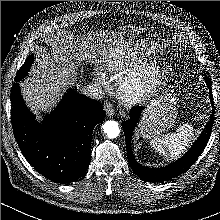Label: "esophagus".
I'll return each instance as SVG.
<instances>
[{
	"mask_svg": "<svg viewBox=\"0 0 220 220\" xmlns=\"http://www.w3.org/2000/svg\"><path fill=\"white\" fill-rule=\"evenodd\" d=\"M103 107H104L105 114L108 117H111L115 114V109H114L113 105L110 102L104 103Z\"/></svg>",
	"mask_w": 220,
	"mask_h": 220,
	"instance_id": "esophagus-1",
	"label": "esophagus"
}]
</instances>
